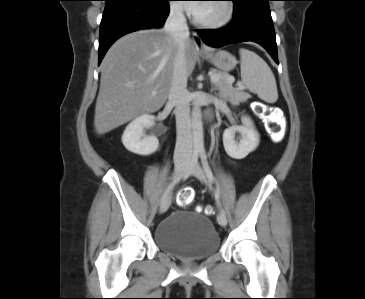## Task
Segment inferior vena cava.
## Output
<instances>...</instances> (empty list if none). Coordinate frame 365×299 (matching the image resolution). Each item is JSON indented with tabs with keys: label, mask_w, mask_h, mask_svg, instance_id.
<instances>
[{
	"label": "inferior vena cava",
	"mask_w": 365,
	"mask_h": 299,
	"mask_svg": "<svg viewBox=\"0 0 365 299\" xmlns=\"http://www.w3.org/2000/svg\"><path fill=\"white\" fill-rule=\"evenodd\" d=\"M165 30L174 39L177 53L174 61L171 88L168 95L169 103L175 106L177 139L174 158H189L192 154V128L190 119V96L187 87V69L185 59V44L189 38V29L182 10L173 7L165 23Z\"/></svg>",
	"instance_id": "inferior-vena-cava-1"
}]
</instances>
